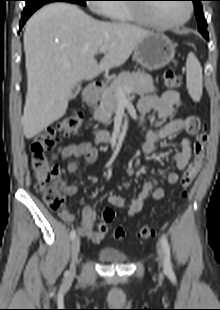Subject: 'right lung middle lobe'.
<instances>
[{"instance_id":"right-lung-middle-lobe-1","label":"right lung middle lobe","mask_w":220,"mask_h":310,"mask_svg":"<svg viewBox=\"0 0 220 310\" xmlns=\"http://www.w3.org/2000/svg\"><path fill=\"white\" fill-rule=\"evenodd\" d=\"M53 1H57V0H26V7H35V6H40L46 3H50ZM73 3H77L80 5H85V1L86 0H67Z\"/></svg>"}]
</instances>
